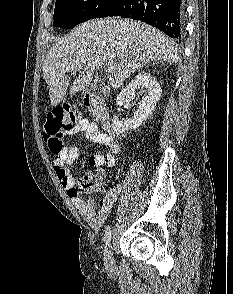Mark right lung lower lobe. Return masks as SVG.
I'll list each match as a JSON object with an SVG mask.
<instances>
[{"label":"right lung lower lobe","mask_w":233,"mask_h":294,"mask_svg":"<svg viewBox=\"0 0 233 294\" xmlns=\"http://www.w3.org/2000/svg\"><path fill=\"white\" fill-rule=\"evenodd\" d=\"M108 16L127 17L146 22L181 43L183 0H122Z\"/></svg>","instance_id":"1"}]
</instances>
